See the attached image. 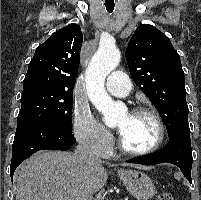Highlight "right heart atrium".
<instances>
[{
    "mask_svg": "<svg viewBox=\"0 0 201 200\" xmlns=\"http://www.w3.org/2000/svg\"><path fill=\"white\" fill-rule=\"evenodd\" d=\"M73 128L77 141L85 149L99 156H107L110 153L113 145V137L93 116L88 106H76Z\"/></svg>",
    "mask_w": 201,
    "mask_h": 200,
    "instance_id": "d8ad5b80",
    "label": "right heart atrium"
}]
</instances>
